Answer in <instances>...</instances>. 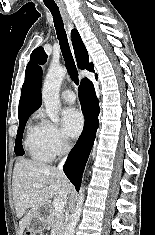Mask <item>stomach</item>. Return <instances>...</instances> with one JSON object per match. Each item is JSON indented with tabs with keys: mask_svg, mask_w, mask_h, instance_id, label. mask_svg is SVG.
Returning a JSON list of instances; mask_svg holds the SVG:
<instances>
[{
	"mask_svg": "<svg viewBox=\"0 0 155 235\" xmlns=\"http://www.w3.org/2000/svg\"><path fill=\"white\" fill-rule=\"evenodd\" d=\"M46 226V219L40 213H36L27 226V235H35L41 232Z\"/></svg>",
	"mask_w": 155,
	"mask_h": 235,
	"instance_id": "obj_1",
	"label": "stomach"
}]
</instances>
